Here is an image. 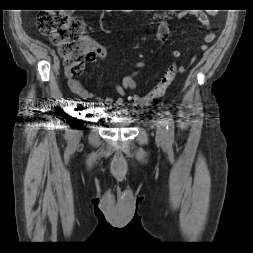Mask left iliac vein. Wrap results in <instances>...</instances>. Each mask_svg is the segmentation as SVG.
Returning a JSON list of instances; mask_svg holds the SVG:
<instances>
[{
	"mask_svg": "<svg viewBox=\"0 0 253 253\" xmlns=\"http://www.w3.org/2000/svg\"><path fill=\"white\" fill-rule=\"evenodd\" d=\"M156 138L160 143H165L167 141V130L164 120H160L157 124Z\"/></svg>",
	"mask_w": 253,
	"mask_h": 253,
	"instance_id": "4c4485c4",
	"label": "left iliac vein"
}]
</instances>
